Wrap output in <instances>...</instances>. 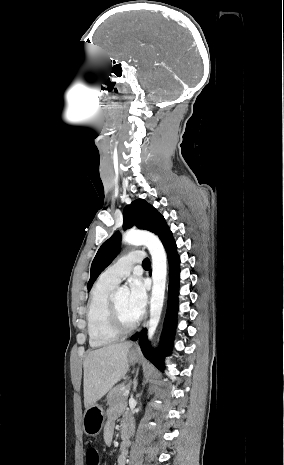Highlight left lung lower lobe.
Returning a JSON list of instances; mask_svg holds the SVG:
<instances>
[{
	"label": "left lung lower lobe",
	"instance_id": "left-lung-lower-lobe-1",
	"mask_svg": "<svg viewBox=\"0 0 284 465\" xmlns=\"http://www.w3.org/2000/svg\"><path fill=\"white\" fill-rule=\"evenodd\" d=\"M169 262V297L167 304V313L164 321V329L161 336V345L156 353H153L147 340L146 329L135 334L131 339H139L140 347L144 355L150 359L158 368L164 369V357L171 352L175 328L177 323L178 299L177 293L179 288V256L176 251V244L172 233L163 241Z\"/></svg>",
	"mask_w": 284,
	"mask_h": 465
}]
</instances>
